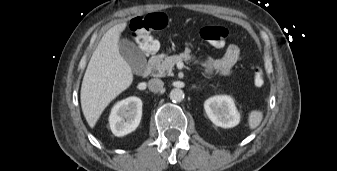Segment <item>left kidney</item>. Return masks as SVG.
Here are the masks:
<instances>
[{
  "instance_id": "obj_1",
  "label": "left kidney",
  "mask_w": 337,
  "mask_h": 171,
  "mask_svg": "<svg viewBox=\"0 0 337 171\" xmlns=\"http://www.w3.org/2000/svg\"><path fill=\"white\" fill-rule=\"evenodd\" d=\"M204 109L209 119L222 128L234 127L240 121V115L230 96H213L205 101Z\"/></svg>"
}]
</instances>
